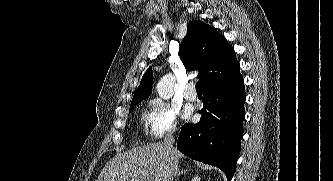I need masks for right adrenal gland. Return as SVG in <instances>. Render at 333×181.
<instances>
[{
  "mask_svg": "<svg viewBox=\"0 0 333 181\" xmlns=\"http://www.w3.org/2000/svg\"><path fill=\"white\" fill-rule=\"evenodd\" d=\"M187 171H188L187 169L180 170V168H179L178 171H177V177H176L175 181H178L180 176L183 175L184 173H186Z\"/></svg>",
  "mask_w": 333,
  "mask_h": 181,
  "instance_id": "obj_1",
  "label": "right adrenal gland"
}]
</instances>
